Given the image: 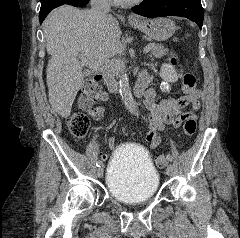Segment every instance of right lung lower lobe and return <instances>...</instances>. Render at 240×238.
I'll use <instances>...</instances> for the list:
<instances>
[{
  "mask_svg": "<svg viewBox=\"0 0 240 238\" xmlns=\"http://www.w3.org/2000/svg\"><path fill=\"white\" fill-rule=\"evenodd\" d=\"M88 1L89 0H70V2L68 4L73 5L75 7H83V6L87 5ZM61 5H63V4H61ZM61 5H59V6H61ZM59 6H57V7H59ZM46 16L47 15L39 17L40 18V23L43 22V20L45 19Z\"/></svg>",
  "mask_w": 240,
  "mask_h": 238,
  "instance_id": "1",
  "label": "right lung lower lobe"
}]
</instances>
